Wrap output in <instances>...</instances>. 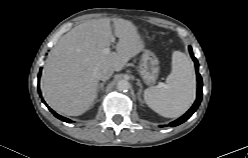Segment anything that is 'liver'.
<instances>
[{"label": "liver", "instance_id": "liver-1", "mask_svg": "<svg viewBox=\"0 0 248 158\" xmlns=\"http://www.w3.org/2000/svg\"><path fill=\"white\" fill-rule=\"evenodd\" d=\"M118 37L116 51L104 54L114 42L109 18L75 26L52 49L41 77V90L48 105L68 116L86 112L97 96L99 73L105 68L120 71L144 48L137 27L129 20L113 19Z\"/></svg>", "mask_w": 248, "mask_h": 158}]
</instances>
